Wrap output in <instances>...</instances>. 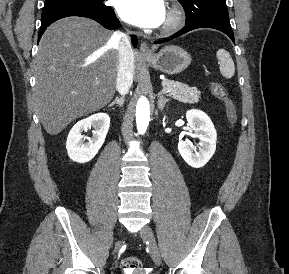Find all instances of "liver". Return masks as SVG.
Listing matches in <instances>:
<instances>
[{"mask_svg":"<svg viewBox=\"0 0 289 274\" xmlns=\"http://www.w3.org/2000/svg\"><path fill=\"white\" fill-rule=\"evenodd\" d=\"M111 37L110 31L81 17L61 19L43 34L34 61V97L48 134L57 135L112 100L119 55ZM133 55L136 70L140 57Z\"/></svg>","mask_w":289,"mask_h":274,"instance_id":"1","label":"liver"}]
</instances>
